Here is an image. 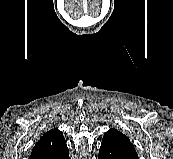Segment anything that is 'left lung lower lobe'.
Instances as JSON below:
<instances>
[{
    "label": "left lung lower lobe",
    "instance_id": "obj_1",
    "mask_svg": "<svg viewBox=\"0 0 173 159\" xmlns=\"http://www.w3.org/2000/svg\"><path fill=\"white\" fill-rule=\"evenodd\" d=\"M98 159H138V157L121 152L106 144H101Z\"/></svg>",
    "mask_w": 173,
    "mask_h": 159
}]
</instances>
